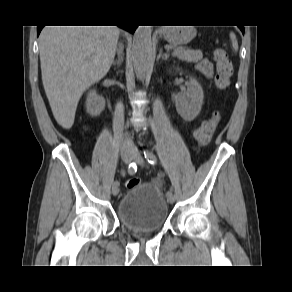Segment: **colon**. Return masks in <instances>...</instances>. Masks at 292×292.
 <instances>
[{"instance_id":"1","label":"colon","mask_w":292,"mask_h":292,"mask_svg":"<svg viewBox=\"0 0 292 292\" xmlns=\"http://www.w3.org/2000/svg\"><path fill=\"white\" fill-rule=\"evenodd\" d=\"M213 58L216 62V77L215 84L219 90H226L230 86V77L232 75L233 67L229 60L227 52L223 48H215L213 51ZM221 120V114L214 112L212 116L205 120L199 128L195 131V139L199 147L207 145L219 122ZM140 184L138 178H132L126 182V187L132 188Z\"/></svg>"}]
</instances>
